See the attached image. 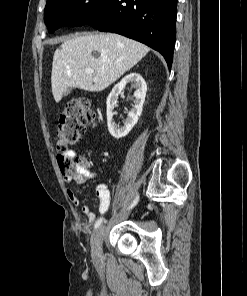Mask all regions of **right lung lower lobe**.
Instances as JSON below:
<instances>
[{"mask_svg": "<svg viewBox=\"0 0 247 296\" xmlns=\"http://www.w3.org/2000/svg\"><path fill=\"white\" fill-rule=\"evenodd\" d=\"M178 0H107L103 11L88 23L140 41L160 52L172 66Z\"/></svg>", "mask_w": 247, "mask_h": 296, "instance_id": "1", "label": "right lung lower lobe"}]
</instances>
